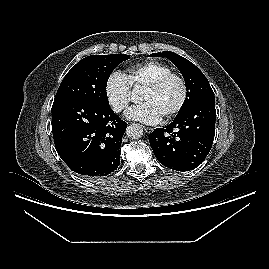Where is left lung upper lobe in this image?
<instances>
[{"label": "left lung upper lobe", "instance_id": "obj_1", "mask_svg": "<svg viewBox=\"0 0 269 269\" xmlns=\"http://www.w3.org/2000/svg\"><path fill=\"white\" fill-rule=\"evenodd\" d=\"M154 57H166L180 70L186 84L187 95L177 116L182 115L194 104L208 97H215L204 74L189 60L171 51L151 54Z\"/></svg>", "mask_w": 269, "mask_h": 269}]
</instances>
